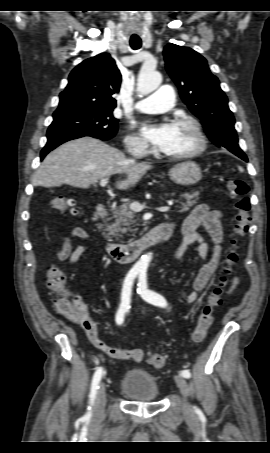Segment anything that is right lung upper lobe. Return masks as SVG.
I'll list each match as a JSON object with an SVG mask.
<instances>
[{
    "label": "right lung upper lobe",
    "instance_id": "cb5924a9",
    "mask_svg": "<svg viewBox=\"0 0 270 453\" xmlns=\"http://www.w3.org/2000/svg\"><path fill=\"white\" fill-rule=\"evenodd\" d=\"M120 83L121 74L108 53L86 59L70 73L53 117L85 111H113Z\"/></svg>",
    "mask_w": 270,
    "mask_h": 453
}]
</instances>
